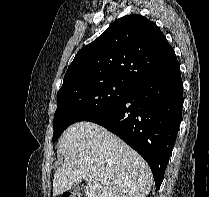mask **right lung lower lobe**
Returning <instances> with one entry per match:
<instances>
[{"mask_svg":"<svg viewBox=\"0 0 209 197\" xmlns=\"http://www.w3.org/2000/svg\"><path fill=\"white\" fill-rule=\"evenodd\" d=\"M182 106L183 82L176 60L85 121L105 127L136 150L150 165L158 190L178 133Z\"/></svg>","mask_w":209,"mask_h":197,"instance_id":"1","label":"right lung lower lobe"}]
</instances>
